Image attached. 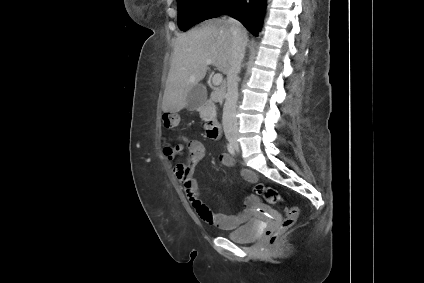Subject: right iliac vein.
<instances>
[{
	"instance_id": "63e3f726",
	"label": "right iliac vein",
	"mask_w": 424,
	"mask_h": 283,
	"mask_svg": "<svg viewBox=\"0 0 424 283\" xmlns=\"http://www.w3.org/2000/svg\"><path fill=\"white\" fill-rule=\"evenodd\" d=\"M228 141L238 150L239 149V144L237 141V136L232 134L228 136Z\"/></svg>"
}]
</instances>
